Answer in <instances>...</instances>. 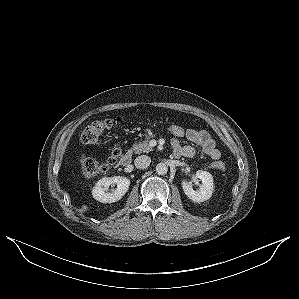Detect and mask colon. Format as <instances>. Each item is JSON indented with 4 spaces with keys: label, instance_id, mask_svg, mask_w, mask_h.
<instances>
[{
    "label": "colon",
    "instance_id": "colon-1",
    "mask_svg": "<svg viewBox=\"0 0 299 299\" xmlns=\"http://www.w3.org/2000/svg\"><path fill=\"white\" fill-rule=\"evenodd\" d=\"M121 118L116 119H106L102 121H94L89 124L81 134V141L86 145H97L100 142L102 134L112 129L117 124L121 123ZM166 130L175 138H184L187 135V130L178 124H168ZM120 150L114 148L112 150L111 158L107 162H100L96 158L89 156H82L80 158V168L81 172L85 177H94L99 174L105 173L109 166L116 160L119 156ZM215 168L218 170H223L225 168L222 162L215 163Z\"/></svg>",
    "mask_w": 299,
    "mask_h": 299
}]
</instances>
